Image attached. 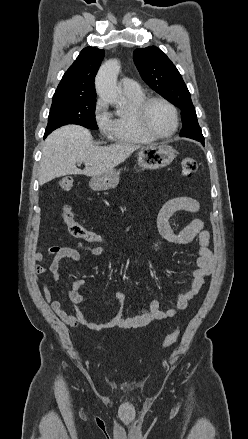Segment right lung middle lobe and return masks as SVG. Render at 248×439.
I'll use <instances>...</instances> for the list:
<instances>
[{"instance_id": "right-lung-middle-lobe-1", "label": "right lung middle lobe", "mask_w": 248, "mask_h": 439, "mask_svg": "<svg viewBox=\"0 0 248 439\" xmlns=\"http://www.w3.org/2000/svg\"><path fill=\"white\" fill-rule=\"evenodd\" d=\"M95 103L96 97H53L44 137L66 124L98 129L95 121Z\"/></svg>"}]
</instances>
